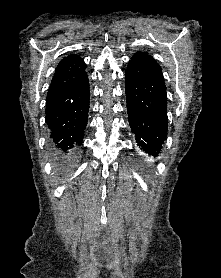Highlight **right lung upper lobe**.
Segmentation results:
<instances>
[{
    "label": "right lung upper lobe",
    "mask_w": 221,
    "mask_h": 278,
    "mask_svg": "<svg viewBox=\"0 0 221 278\" xmlns=\"http://www.w3.org/2000/svg\"><path fill=\"white\" fill-rule=\"evenodd\" d=\"M85 69L86 65L80 56L71 54L67 57H64L56 68L50 87L63 83L82 74L85 72Z\"/></svg>",
    "instance_id": "obj_1"
}]
</instances>
